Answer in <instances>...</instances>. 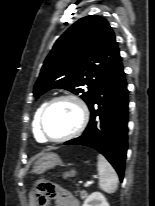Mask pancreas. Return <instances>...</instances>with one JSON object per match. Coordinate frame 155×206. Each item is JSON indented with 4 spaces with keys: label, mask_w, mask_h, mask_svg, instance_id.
Wrapping results in <instances>:
<instances>
[{
    "label": "pancreas",
    "mask_w": 155,
    "mask_h": 206,
    "mask_svg": "<svg viewBox=\"0 0 155 206\" xmlns=\"http://www.w3.org/2000/svg\"><path fill=\"white\" fill-rule=\"evenodd\" d=\"M86 196H87L86 191H84V190L80 191V197H81V199L86 198Z\"/></svg>",
    "instance_id": "obj_1"
}]
</instances>
